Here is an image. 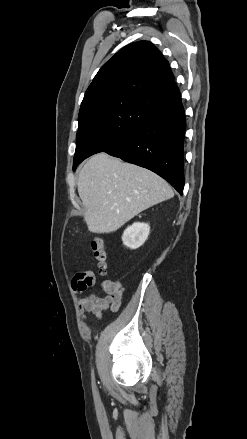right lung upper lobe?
Masks as SVG:
<instances>
[{
    "instance_id": "obj_1",
    "label": "right lung upper lobe",
    "mask_w": 247,
    "mask_h": 439,
    "mask_svg": "<svg viewBox=\"0 0 247 439\" xmlns=\"http://www.w3.org/2000/svg\"><path fill=\"white\" fill-rule=\"evenodd\" d=\"M181 96L168 61L148 41L131 43L98 71L80 112L109 101L126 100L150 111Z\"/></svg>"
}]
</instances>
